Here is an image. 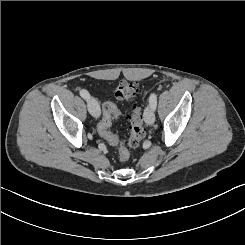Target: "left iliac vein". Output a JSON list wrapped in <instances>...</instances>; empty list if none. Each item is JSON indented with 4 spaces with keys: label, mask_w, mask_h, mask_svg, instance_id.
Masks as SVG:
<instances>
[{
    "label": "left iliac vein",
    "mask_w": 245,
    "mask_h": 245,
    "mask_svg": "<svg viewBox=\"0 0 245 245\" xmlns=\"http://www.w3.org/2000/svg\"><path fill=\"white\" fill-rule=\"evenodd\" d=\"M144 119L147 125H152L155 121L154 109L150 105L145 109Z\"/></svg>",
    "instance_id": "left-iliac-vein-1"
}]
</instances>
